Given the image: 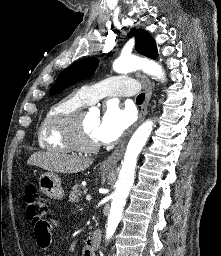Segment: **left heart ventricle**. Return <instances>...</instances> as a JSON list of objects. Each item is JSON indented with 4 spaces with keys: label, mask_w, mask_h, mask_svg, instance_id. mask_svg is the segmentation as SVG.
Here are the masks:
<instances>
[{
    "label": "left heart ventricle",
    "mask_w": 221,
    "mask_h": 256,
    "mask_svg": "<svg viewBox=\"0 0 221 256\" xmlns=\"http://www.w3.org/2000/svg\"><path fill=\"white\" fill-rule=\"evenodd\" d=\"M99 117L86 113L83 117V136L86 141L91 143H97V140L94 137V130L98 124Z\"/></svg>",
    "instance_id": "1"
}]
</instances>
